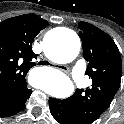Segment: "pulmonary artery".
<instances>
[{
	"instance_id": "e3ab8cb5",
	"label": "pulmonary artery",
	"mask_w": 124,
	"mask_h": 124,
	"mask_svg": "<svg viewBox=\"0 0 124 124\" xmlns=\"http://www.w3.org/2000/svg\"><path fill=\"white\" fill-rule=\"evenodd\" d=\"M85 69L86 64L83 60H79L72 69V77L77 88L85 86Z\"/></svg>"
}]
</instances>
